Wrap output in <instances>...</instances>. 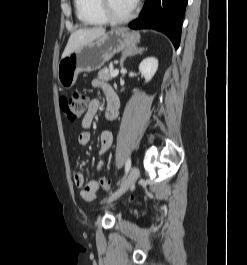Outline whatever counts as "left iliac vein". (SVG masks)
<instances>
[{
	"label": "left iliac vein",
	"instance_id": "left-iliac-vein-1",
	"mask_svg": "<svg viewBox=\"0 0 247 265\" xmlns=\"http://www.w3.org/2000/svg\"><path fill=\"white\" fill-rule=\"evenodd\" d=\"M138 176H139V169L136 166L132 167L125 184L116 193H114L107 199V203L112 202L113 200L117 199L122 194H124L130 187H132L135 184V182L138 179Z\"/></svg>",
	"mask_w": 247,
	"mask_h": 265
}]
</instances>
